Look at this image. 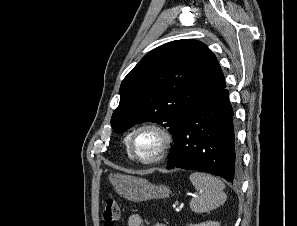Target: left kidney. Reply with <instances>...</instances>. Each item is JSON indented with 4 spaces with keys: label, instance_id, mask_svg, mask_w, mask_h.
<instances>
[{
    "label": "left kidney",
    "instance_id": "1",
    "mask_svg": "<svg viewBox=\"0 0 297 226\" xmlns=\"http://www.w3.org/2000/svg\"><path fill=\"white\" fill-rule=\"evenodd\" d=\"M188 226H220V224L215 221H206L200 224H189Z\"/></svg>",
    "mask_w": 297,
    "mask_h": 226
}]
</instances>
